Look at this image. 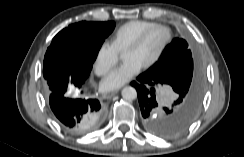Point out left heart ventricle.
Segmentation results:
<instances>
[{"label":"left heart ventricle","instance_id":"left-heart-ventricle-1","mask_svg":"<svg viewBox=\"0 0 244 157\" xmlns=\"http://www.w3.org/2000/svg\"><path fill=\"white\" fill-rule=\"evenodd\" d=\"M165 39L166 33L163 30H155L144 40L140 47L135 50L125 51L123 59L125 61L133 60L142 67L157 55Z\"/></svg>","mask_w":244,"mask_h":157}]
</instances>
